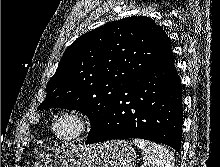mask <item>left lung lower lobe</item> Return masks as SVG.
<instances>
[{"mask_svg": "<svg viewBox=\"0 0 220 167\" xmlns=\"http://www.w3.org/2000/svg\"><path fill=\"white\" fill-rule=\"evenodd\" d=\"M182 123L181 82L172 53L116 94L101 129L86 144L142 138L179 151Z\"/></svg>", "mask_w": 220, "mask_h": 167, "instance_id": "left-lung-lower-lobe-1", "label": "left lung lower lobe"}]
</instances>
